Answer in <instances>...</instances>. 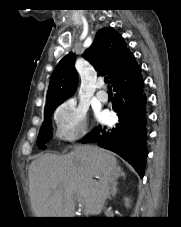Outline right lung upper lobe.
<instances>
[{"instance_id": "cb5924a9", "label": "right lung upper lobe", "mask_w": 181, "mask_h": 227, "mask_svg": "<svg viewBox=\"0 0 181 227\" xmlns=\"http://www.w3.org/2000/svg\"><path fill=\"white\" fill-rule=\"evenodd\" d=\"M131 54L117 31L103 28L97 32L93 44L84 52L83 57L96 70L109 75L112 83ZM74 58L75 54L69 53L54 69L47 91L46 108L59 105L76 89L78 74L74 68Z\"/></svg>"}]
</instances>
